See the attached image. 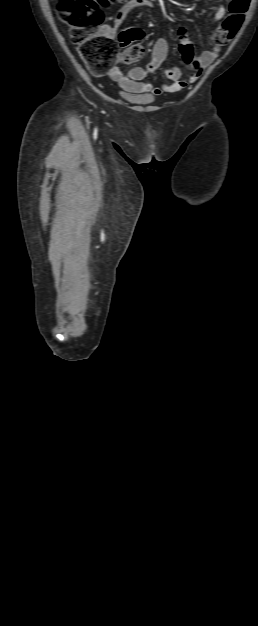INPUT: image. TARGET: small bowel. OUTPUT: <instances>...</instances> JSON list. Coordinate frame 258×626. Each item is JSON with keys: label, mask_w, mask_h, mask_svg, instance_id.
Masks as SVG:
<instances>
[{"label": "small bowel", "mask_w": 258, "mask_h": 626, "mask_svg": "<svg viewBox=\"0 0 258 626\" xmlns=\"http://www.w3.org/2000/svg\"><path fill=\"white\" fill-rule=\"evenodd\" d=\"M152 4V0H127L112 18L114 25L105 28L103 30L104 34L108 38H115L118 32V26L124 21L129 12L138 7L152 6ZM225 14L226 10L224 6H218L213 17L214 22L220 21ZM177 37L179 39L178 48L182 60L193 71V74L187 79L183 78L182 72L178 67H171L164 71V75L169 80V83L163 84L160 87H154L152 83L143 81L147 75L156 71L164 62L168 52V43L165 38H160L156 41L152 50V58L145 67H134L125 74L118 65L112 64L107 70V75L113 81L117 82L122 89L131 93L160 95L162 93L181 91L188 83L196 81L202 70L216 59L220 45L215 43L211 50L196 55L185 27H179L177 29ZM192 76H195L194 80H191Z\"/></svg>", "instance_id": "1"}]
</instances>
